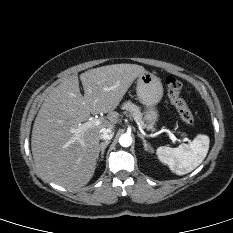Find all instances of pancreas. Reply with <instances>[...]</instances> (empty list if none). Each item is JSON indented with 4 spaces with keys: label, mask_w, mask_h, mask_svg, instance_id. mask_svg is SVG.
Listing matches in <instances>:
<instances>
[{
    "label": "pancreas",
    "mask_w": 233,
    "mask_h": 233,
    "mask_svg": "<svg viewBox=\"0 0 233 233\" xmlns=\"http://www.w3.org/2000/svg\"><path fill=\"white\" fill-rule=\"evenodd\" d=\"M122 109L126 110L127 113H129L130 116L134 118V120L141 126L146 127L147 129H153V126L150 124H146L143 119V114L140 110V107L135 105L134 103L127 101L123 103Z\"/></svg>",
    "instance_id": "obj_1"
}]
</instances>
